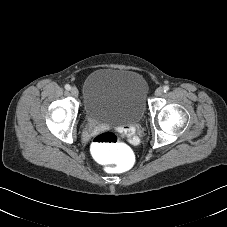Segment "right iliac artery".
<instances>
[{"label": "right iliac artery", "mask_w": 227, "mask_h": 227, "mask_svg": "<svg viewBox=\"0 0 227 227\" xmlns=\"http://www.w3.org/2000/svg\"><path fill=\"white\" fill-rule=\"evenodd\" d=\"M65 89H66V90H70V89H71L70 85H69V84H66V85H65Z\"/></svg>", "instance_id": "obj_1"}]
</instances>
